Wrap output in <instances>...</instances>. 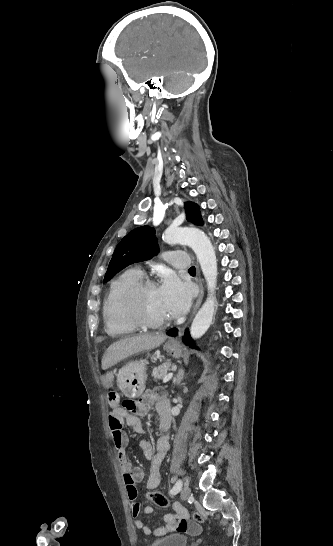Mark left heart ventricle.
Masks as SVG:
<instances>
[{"instance_id":"1","label":"left heart ventricle","mask_w":333,"mask_h":546,"mask_svg":"<svg viewBox=\"0 0 333 546\" xmlns=\"http://www.w3.org/2000/svg\"><path fill=\"white\" fill-rule=\"evenodd\" d=\"M141 307L144 315L151 320L160 321L168 319L157 287L149 288L144 292L141 299Z\"/></svg>"}]
</instances>
